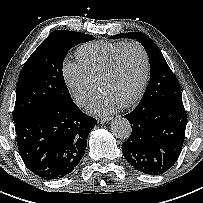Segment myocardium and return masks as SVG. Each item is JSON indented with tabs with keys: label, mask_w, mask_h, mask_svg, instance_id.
Masks as SVG:
<instances>
[{
	"label": "myocardium",
	"mask_w": 203,
	"mask_h": 203,
	"mask_svg": "<svg viewBox=\"0 0 203 203\" xmlns=\"http://www.w3.org/2000/svg\"><path fill=\"white\" fill-rule=\"evenodd\" d=\"M130 46H134V47L138 48L139 51L141 52L143 61H144V72H143L142 81H141L138 91L131 99H129L128 101L123 103V106H125V107L131 106V105L135 104L137 101H139L142 98V96L146 90L148 80H149V75H150V60H149V55H148L145 47L138 41L124 42L112 55V57L110 58L109 62L107 63V65L105 66V68L103 69V71L99 77V88L101 89L104 81L107 78H109L112 75V73L114 72L123 50Z\"/></svg>",
	"instance_id": "1"
}]
</instances>
